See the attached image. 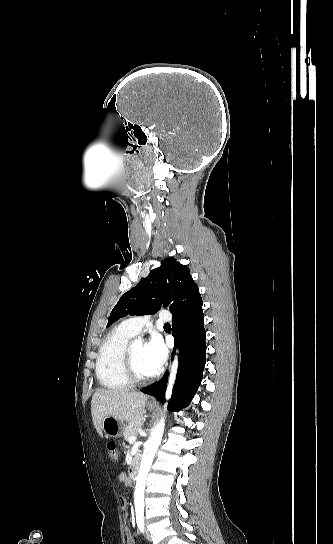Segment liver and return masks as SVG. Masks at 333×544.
<instances>
[{
  "label": "liver",
  "instance_id": "obj_1",
  "mask_svg": "<svg viewBox=\"0 0 333 544\" xmlns=\"http://www.w3.org/2000/svg\"><path fill=\"white\" fill-rule=\"evenodd\" d=\"M147 396L127 389H98L92 396L91 415L97 433L102 435V422L107 416L134 422L142 418Z\"/></svg>",
  "mask_w": 333,
  "mask_h": 544
}]
</instances>
